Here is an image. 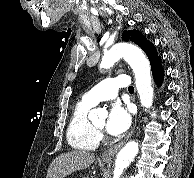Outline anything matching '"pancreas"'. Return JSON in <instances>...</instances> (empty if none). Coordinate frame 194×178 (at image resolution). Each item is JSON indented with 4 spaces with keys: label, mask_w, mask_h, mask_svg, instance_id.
Instances as JSON below:
<instances>
[{
    "label": "pancreas",
    "mask_w": 194,
    "mask_h": 178,
    "mask_svg": "<svg viewBox=\"0 0 194 178\" xmlns=\"http://www.w3.org/2000/svg\"><path fill=\"white\" fill-rule=\"evenodd\" d=\"M81 178H89L88 176H83V177H81Z\"/></svg>",
    "instance_id": "pancreas-1"
}]
</instances>
